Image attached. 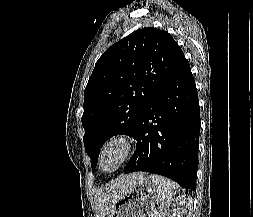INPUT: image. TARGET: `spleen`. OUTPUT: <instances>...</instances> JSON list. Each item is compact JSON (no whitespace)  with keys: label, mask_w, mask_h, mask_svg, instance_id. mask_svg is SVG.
Segmentation results:
<instances>
[{"label":"spleen","mask_w":253,"mask_h":217,"mask_svg":"<svg viewBox=\"0 0 253 217\" xmlns=\"http://www.w3.org/2000/svg\"><path fill=\"white\" fill-rule=\"evenodd\" d=\"M149 179L157 187V197L161 210L163 206L168 204L172 197L176 194L177 185L168 178L156 174H151Z\"/></svg>","instance_id":"spleen-1"}]
</instances>
